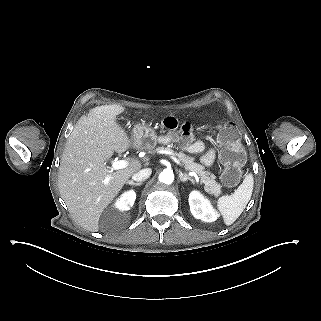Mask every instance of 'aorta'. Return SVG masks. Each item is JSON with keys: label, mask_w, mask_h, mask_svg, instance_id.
Returning a JSON list of instances; mask_svg holds the SVG:
<instances>
[{"label": "aorta", "mask_w": 321, "mask_h": 321, "mask_svg": "<svg viewBox=\"0 0 321 321\" xmlns=\"http://www.w3.org/2000/svg\"><path fill=\"white\" fill-rule=\"evenodd\" d=\"M159 181L165 184H171L174 181V174L171 170H164L159 175Z\"/></svg>", "instance_id": "obj_1"}]
</instances>
